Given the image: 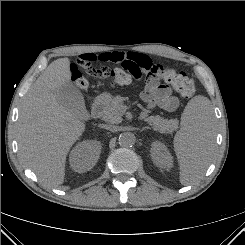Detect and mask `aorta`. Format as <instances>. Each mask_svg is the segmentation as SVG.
Masks as SVG:
<instances>
[{
  "instance_id": "obj_1",
  "label": "aorta",
  "mask_w": 245,
  "mask_h": 245,
  "mask_svg": "<svg viewBox=\"0 0 245 245\" xmlns=\"http://www.w3.org/2000/svg\"><path fill=\"white\" fill-rule=\"evenodd\" d=\"M118 141L123 147H132L136 142V137L131 132H124L120 134Z\"/></svg>"
}]
</instances>
